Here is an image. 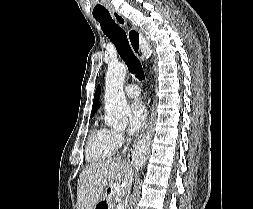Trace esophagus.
Wrapping results in <instances>:
<instances>
[{"mask_svg": "<svg viewBox=\"0 0 253 209\" xmlns=\"http://www.w3.org/2000/svg\"><path fill=\"white\" fill-rule=\"evenodd\" d=\"M113 17H114L115 21L118 24L125 25L126 21H125L124 17H122L118 12H113ZM128 37H129L132 49L135 52H137L136 51L137 49H138V51H140V49H141V47L143 45L142 34L139 31H137L135 28H131V29L128 30ZM153 119H154V111L151 108V110H150V118H149V126H151ZM143 136H140L139 138H137L135 140L134 144L132 145V147L130 148V150L128 152V160L131 163H134V158H133L134 152H135V149H136L137 145L139 144V142H140V140H141V138Z\"/></svg>", "mask_w": 253, "mask_h": 209, "instance_id": "esophagus-1", "label": "esophagus"}]
</instances>
